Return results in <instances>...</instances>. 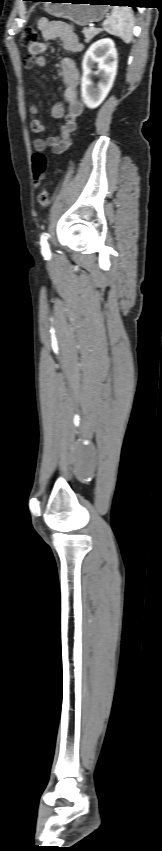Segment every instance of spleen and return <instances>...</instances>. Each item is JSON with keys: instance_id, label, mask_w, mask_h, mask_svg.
<instances>
[{"instance_id": "3e777b00", "label": "spleen", "mask_w": 162, "mask_h": 851, "mask_svg": "<svg viewBox=\"0 0 162 851\" xmlns=\"http://www.w3.org/2000/svg\"><path fill=\"white\" fill-rule=\"evenodd\" d=\"M133 26V13L128 7H113L111 16L103 23L106 32L120 37L125 43H130L132 40Z\"/></svg>"}]
</instances>
